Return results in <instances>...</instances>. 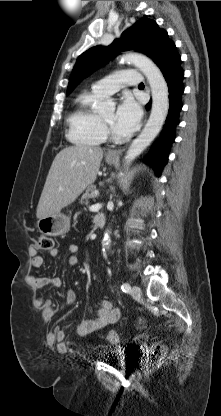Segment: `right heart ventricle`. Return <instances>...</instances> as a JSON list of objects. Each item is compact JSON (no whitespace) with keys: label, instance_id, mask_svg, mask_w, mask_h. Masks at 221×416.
Wrapping results in <instances>:
<instances>
[{"label":"right heart ventricle","instance_id":"right-heart-ventricle-1","mask_svg":"<svg viewBox=\"0 0 221 416\" xmlns=\"http://www.w3.org/2000/svg\"><path fill=\"white\" fill-rule=\"evenodd\" d=\"M101 98L93 91L81 93L76 105L68 117V138L80 145L95 146L102 144L105 132L100 116L94 111L93 105Z\"/></svg>","mask_w":221,"mask_h":416}]
</instances>
